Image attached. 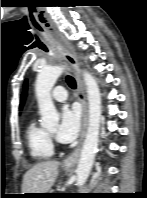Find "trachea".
<instances>
[{"label":"trachea","instance_id":"obj_1","mask_svg":"<svg viewBox=\"0 0 147 198\" xmlns=\"http://www.w3.org/2000/svg\"><path fill=\"white\" fill-rule=\"evenodd\" d=\"M42 49L45 50V51H47V49L45 47L42 48ZM66 81H67V83H68V85H69L70 88H72V89H75L76 88V82H75V80H74L73 77H71V76L68 75L66 77Z\"/></svg>","mask_w":147,"mask_h":198}]
</instances>
